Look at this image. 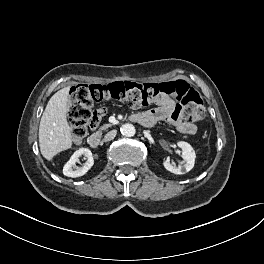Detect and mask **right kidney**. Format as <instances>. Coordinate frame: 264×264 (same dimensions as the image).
<instances>
[{
  "label": "right kidney",
  "mask_w": 264,
  "mask_h": 264,
  "mask_svg": "<svg viewBox=\"0 0 264 264\" xmlns=\"http://www.w3.org/2000/svg\"><path fill=\"white\" fill-rule=\"evenodd\" d=\"M84 156L86 159L83 167H77L76 163L79 162V157ZM94 160L92 152L88 148H80L76 150L70 157L69 161L63 167V174L67 177H80L87 173V171L93 166Z\"/></svg>",
  "instance_id": "right-kidney-1"
}]
</instances>
